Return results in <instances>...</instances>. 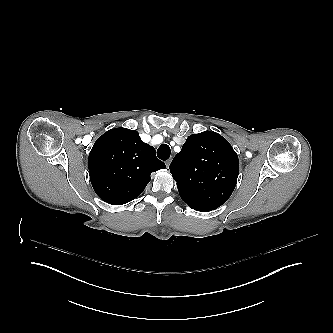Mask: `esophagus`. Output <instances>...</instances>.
Wrapping results in <instances>:
<instances>
[{"mask_svg":"<svg viewBox=\"0 0 333 333\" xmlns=\"http://www.w3.org/2000/svg\"><path fill=\"white\" fill-rule=\"evenodd\" d=\"M169 165H170V160H167L166 161V167H169Z\"/></svg>","mask_w":333,"mask_h":333,"instance_id":"1","label":"esophagus"}]
</instances>
